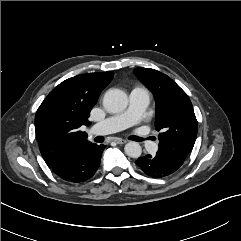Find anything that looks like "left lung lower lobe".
<instances>
[{
	"label": "left lung lower lobe",
	"instance_id": "obj_1",
	"mask_svg": "<svg viewBox=\"0 0 241 241\" xmlns=\"http://www.w3.org/2000/svg\"><path fill=\"white\" fill-rule=\"evenodd\" d=\"M139 168L148 176L162 178L174 173L179 167L167 163L157 156L146 155L136 161Z\"/></svg>",
	"mask_w": 241,
	"mask_h": 241
}]
</instances>
